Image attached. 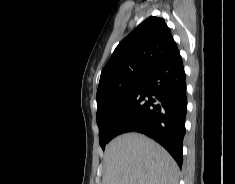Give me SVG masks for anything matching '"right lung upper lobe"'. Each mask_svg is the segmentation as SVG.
<instances>
[{
  "mask_svg": "<svg viewBox=\"0 0 235 184\" xmlns=\"http://www.w3.org/2000/svg\"><path fill=\"white\" fill-rule=\"evenodd\" d=\"M177 51L171 30L164 19L148 17L120 42L103 68L97 90V104L103 101L109 89L143 79Z\"/></svg>",
  "mask_w": 235,
  "mask_h": 184,
  "instance_id": "obj_1",
  "label": "right lung upper lobe"
}]
</instances>
